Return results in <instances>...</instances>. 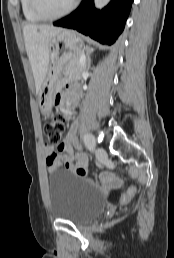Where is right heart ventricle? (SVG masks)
<instances>
[{"instance_id":"obj_1","label":"right heart ventricle","mask_w":174,"mask_h":258,"mask_svg":"<svg viewBox=\"0 0 174 258\" xmlns=\"http://www.w3.org/2000/svg\"><path fill=\"white\" fill-rule=\"evenodd\" d=\"M20 5H21L22 13L27 21L38 23L44 20L42 17L36 14L35 11L32 9L31 0H20Z\"/></svg>"}]
</instances>
